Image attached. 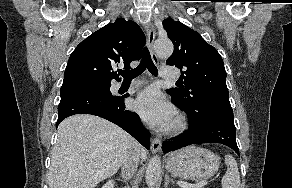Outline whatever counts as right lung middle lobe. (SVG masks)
I'll use <instances>...</instances> for the list:
<instances>
[{"instance_id": "right-lung-middle-lobe-1", "label": "right lung middle lobe", "mask_w": 292, "mask_h": 188, "mask_svg": "<svg viewBox=\"0 0 292 188\" xmlns=\"http://www.w3.org/2000/svg\"><path fill=\"white\" fill-rule=\"evenodd\" d=\"M70 83L84 84V85L101 89L104 91H110V86H111V81L102 80V79L84 78V79H74V80L63 81V84H70Z\"/></svg>"}]
</instances>
